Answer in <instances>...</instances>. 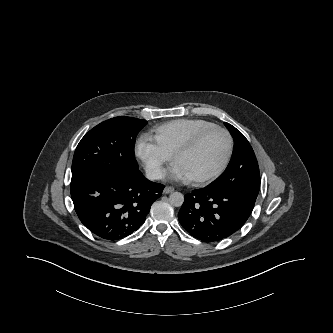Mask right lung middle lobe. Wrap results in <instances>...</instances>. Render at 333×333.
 I'll list each match as a JSON object with an SVG mask.
<instances>
[{"label":"right lung middle lobe","mask_w":333,"mask_h":333,"mask_svg":"<svg viewBox=\"0 0 333 333\" xmlns=\"http://www.w3.org/2000/svg\"><path fill=\"white\" fill-rule=\"evenodd\" d=\"M146 124L132 117H115L95 126L75 150L71 181L93 174L126 176L138 170L135 138Z\"/></svg>","instance_id":"obj_1"}]
</instances>
